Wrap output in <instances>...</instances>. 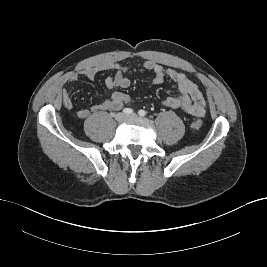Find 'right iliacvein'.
<instances>
[{
  "label": "right iliac vein",
  "mask_w": 267,
  "mask_h": 267,
  "mask_svg": "<svg viewBox=\"0 0 267 267\" xmlns=\"http://www.w3.org/2000/svg\"><path fill=\"white\" fill-rule=\"evenodd\" d=\"M115 118L118 122H122L127 118V116L124 113H118Z\"/></svg>",
  "instance_id": "right-iliac-vein-1"
}]
</instances>
